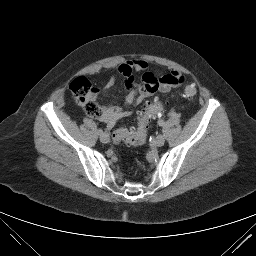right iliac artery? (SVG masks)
Here are the masks:
<instances>
[{"label":"right iliac artery","mask_w":256,"mask_h":256,"mask_svg":"<svg viewBox=\"0 0 256 256\" xmlns=\"http://www.w3.org/2000/svg\"><path fill=\"white\" fill-rule=\"evenodd\" d=\"M98 134H99V135L103 134V130H102V129H99V130H98Z\"/></svg>","instance_id":"obj_1"}]
</instances>
